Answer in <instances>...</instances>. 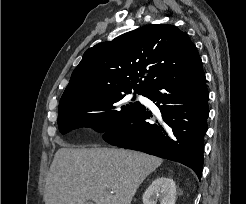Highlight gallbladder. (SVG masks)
Returning a JSON list of instances; mask_svg holds the SVG:
<instances>
[{"instance_id": "gallbladder-1", "label": "gallbladder", "mask_w": 246, "mask_h": 204, "mask_svg": "<svg viewBox=\"0 0 246 204\" xmlns=\"http://www.w3.org/2000/svg\"><path fill=\"white\" fill-rule=\"evenodd\" d=\"M84 204H93L92 202L88 201V202H85Z\"/></svg>"}]
</instances>
